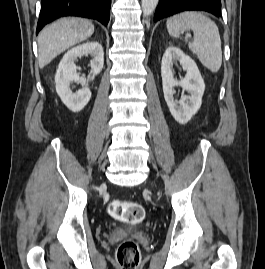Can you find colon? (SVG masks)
Wrapping results in <instances>:
<instances>
[{"mask_svg":"<svg viewBox=\"0 0 265 269\" xmlns=\"http://www.w3.org/2000/svg\"><path fill=\"white\" fill-rule=\"evenodd\" d=\"M110 216L126 223L135 224L144 217V209L137 202L113 200L108 206ZM117 259L121 269H136L139 262V248L132 240H124L118 247Z\"/></svg>","mask_w":265,"mask_h":269,"instance_id":"1","label":"colon"}]
</instances>
